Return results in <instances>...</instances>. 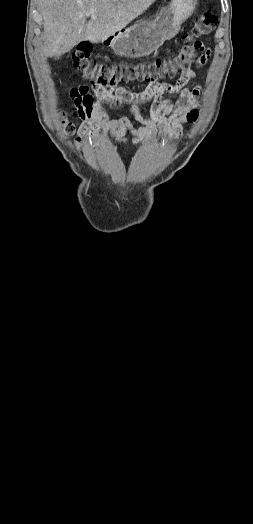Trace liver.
I'll use <instances>...</instances> for the list:
<instances>
[{"mask_svg":"<svg viewBox=\"0 0 253 524\" xmlns=\"http://www.w3.org/2000/svg\"><path fill=\"white\" fill-rule=\"evenodd\" d=\"M155 1L40 0L44 21L43 55L46 58L61 55L82 40L99 43L125 28Z\"/></svg>","mask_w":253,"mask_h":524,"instance_id":"obj_1","label":"liver"}]
</instances>
